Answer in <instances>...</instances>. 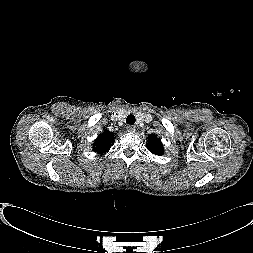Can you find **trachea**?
Returning <instances> with one entry per match:
<instances>
[{
    "label": "trachea",
    "mask_w": 253,
    "mask_h": 253,
    "mask_svg": "<svg viewBox=\"0 0 253 253\" xmlns=\"http://www.w3.org/2000/svg\"><path fill=\"white\" fill-rule=\"evenodd\" d=\"M136 119H135V116L130 114L127 116L126 118V123L130 124V125H133L135 123Z\"/></svg>",
    "instance_id": "obj_1"
}]
</instances>
